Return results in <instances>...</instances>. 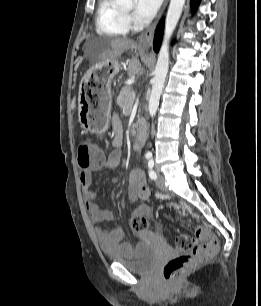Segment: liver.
<instances>
[{
  "mask_svg": "<svg viewBox=\"0 0 261 306\" xmlns=\"http://www.w3.org/2000/svg\"><path fill=\"white\" fill-rule=\"evenodd\" d=\"M104 50L99 58L103 61H109L116 59L122 55L125 51L135 47V43L131 39L127 38H115L103 43ZM141 71V63L137 58H132L128 65V75L130 77L139 74Z\"/></svg>",
  "mask_w": 261,
  "mask_h": 306,
  "instance_id": "1",
  "label": "liver"
}]
</instances>
